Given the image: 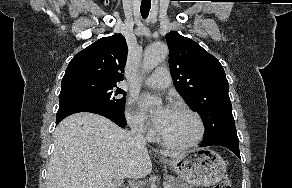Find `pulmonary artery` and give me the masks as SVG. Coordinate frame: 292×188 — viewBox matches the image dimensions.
Here are the masks:
<instances>
[{
  "mask_svg": "<svg viewBox=\"0 0 292 188\" xmlns=\"http://www.w3.org/2000/svg\"><path fill=\"white\" fill-rule=\"evenodd\" d=\"M146 84L157 89H165L171 83V76L166 67L157 68L146 80Z\"/></svg>",
  "mask_w": 292,
  "mask_h": 188,
  "instance_id": "obj_1",
  "label": "pulmonary artery"
}]
</instances>
